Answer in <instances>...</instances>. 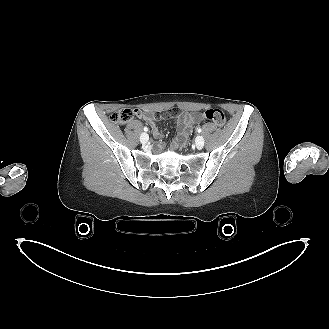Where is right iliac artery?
<instances>
[{
    "label": "right iliac artery",
    "instance_id": "obj_1",
    "mask_svg": "<svg viewBox=\"0 0 329 329\" xmlns=\"http://www.w3.org/2000/svg\"><path fill=\"white\" fill-rule=\"evenodd\" d=\"M143 129H144V131H146V132L148 131V128H147V127H144Z\"/></svg>",
    "mask_w": 329,
    "mask_h": 329
}]
</instances>
